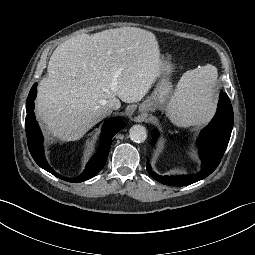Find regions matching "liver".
Returning a JSON list of instances; mask_svg holds the SVG:
<instances>
[{"label":"liver","instance_id":"1","mask_svg":"<svg viewBox=\"0 0 255 255\" xmlns=\"http://www.w3.org/2000/svg\"><path fill=\"white\" fill-rule=\"evenodd\" d=\"M153 33L137 27L81 34L61 43L38 87L36 111L49 134L75 141L111 114L107 101H140L160 74Z\"/></svg>","mask_w":255,"mask_h":255}]
</instances>
